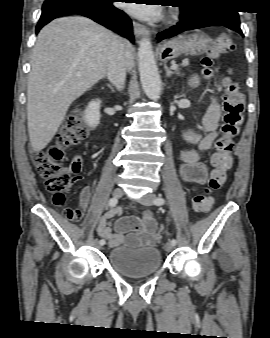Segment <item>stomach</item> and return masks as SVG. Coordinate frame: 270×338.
<instances>
[{
    "instance_id": "obj_1",
    "label": "stomach",
    "mask_w": 270,
    "mask_h": 338,
    "mask_svg": "<svg viewBox=\"0 0 270 338\" xmlns=\"http://www.w3.org/2000/svg\"><path fill=\"white\" fill-rule=\"evenodd\" d=\"M211 45L208 36L200 33L180 35L174 39L165 41L159 46V57L162 61H168L181 55H202Z\"/></svg>"
}]
</instances>
